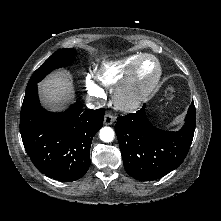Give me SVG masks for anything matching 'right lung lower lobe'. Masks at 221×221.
I'll return each instance as SVG.
<instances>
[{
    "label": "right lung lower lobe",
    "instance_id": "1",
    "mask_svg": "<svg viewBox=\"0 0 221 221\" xmlns=\"http://www.w3.org/2000/svg\"><path fill=\"white\" fill-rule=\"evenodd\" d=\"M104 109L83 111L76 103L61 113L40 105L37 85L27 91L20 115V132L27 154L46 176L62 182L81 178L90 165V146L103 125Z\"/></svg>",
    "mask_w": 221,
    "mask_h": 221
}]
</instances>
